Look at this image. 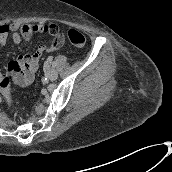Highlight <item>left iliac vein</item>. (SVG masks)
<instances>
[{"instance_id": "4c4485c4", "label": "left iliac vein", "mask_w": 172, "mask_h": 172, "mask_svg": "<svg viewBox=\"0 0 172 172\" xmlns=\"http://www.w3.org/2000/svg\"><path fill=\"white\" fill-rule=\"evenodd\" d=\"M46 74L49 80L55 81L58 77V73L55 69H49V63L47 62L45 65Z\"/></svg>"}]
</instances>
